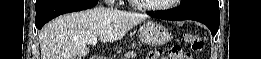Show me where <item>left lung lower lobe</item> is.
Returning <instances> with one entry per match:
<instances>
[{
	"label": "left lung lower lobe",
	"instance_id": "obj_1",
	"mask_svg": "<svg viewBox=\"0 0 261 59\" xmlns=\"http://www.w3.org/2000/svg\"><path fill=\"white\" fill-rule=\"evenodd\" d=\"M152 17L166 20H195L205 24L214 36L219 28V3L217 2H193L181 5L167 12H148Z\"/></svg>",
	"mask_w": 261,
	"mask_h": 59
}]
</instances>
